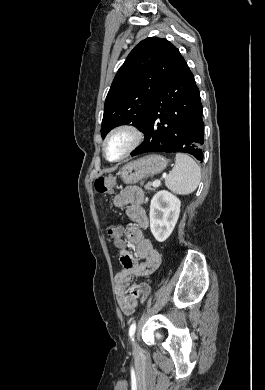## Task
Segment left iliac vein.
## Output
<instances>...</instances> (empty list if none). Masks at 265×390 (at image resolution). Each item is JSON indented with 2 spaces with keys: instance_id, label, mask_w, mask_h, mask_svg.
Here are the masks:
<instances>
[{
  "instance_id": "1",
  "label": "left iliac vein",
  "mask_w": 265,
  "mask_h": 390,
  "mask_svg": "<svg viewBox=\"0 0 265 390\" xmlns=\"http://www.w3.org/2000/svg\"><path fill=\"white\" fill-rule=\"evenodd\" d=\"M133 352L135 355H138L140 353V348H139L138 344L136 343V341H134V343H133Z\"/></svg>"
}]
</instances>
